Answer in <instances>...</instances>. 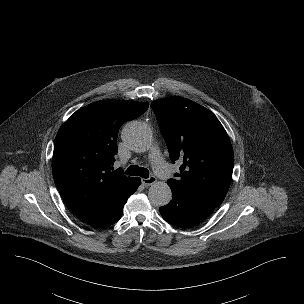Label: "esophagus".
<instances>
[{"instance_id": "obj_1", "label": "esophagus", "mask_w": 304, "mask_h": 304, "mask_svg": "<svg viewBox=\"0 0 304 304\" xmlns=\"http://www.w3.org/2000/svg\"><path fill=\"white\" fill-rule=\"evenodd\" d=\"M156 182H157V179L155 176H150L149 178L142 179V184L144 186H150Z\"/></svg>"}]
</instances>
